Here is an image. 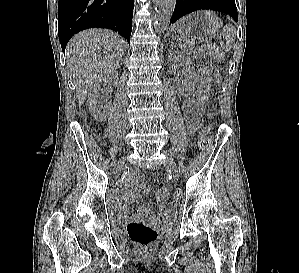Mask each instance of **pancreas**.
Listing matches in <instances>:
<instances>
[{
  "mask_svg": "<svg viewBox=\"0 0 299 273\" xmlns=\"http://www.w3.org/2000/svg\"><path fill=\"white\" fill-rule=\"evenodd\" d=\"M182 48H183V50L188 54V55H190L192 58H198V56L200 55V53L197 51V49L193 46V45H191V44H189V43H184L183 45H182Z\"/></svg>",
  "mask_w": 299,
  "mask_h": 273,
  "instance_id": "obj_1",
  "label": "pancreas"
}]
</instances>
